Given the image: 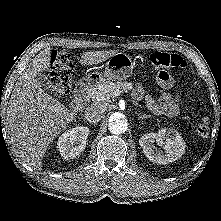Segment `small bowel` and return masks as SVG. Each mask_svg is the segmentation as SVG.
I'll return each instance as SVG.
<instances>
[{
	"instance_id": "obj_1",
	"label": "small bowel",
	"mask_w": 221,
	"mask_h": 221,
	"mask_svg": "<svg viewBox=\"0 0 221 221\" xmlns=\"http://www.w3.org/2000/svg\"><path fill=\"white\" fill-rule=\"evenodd\" d=\"M143 95V89L140 85H136L133 91L135 99H140ZM146 104L148 108L158 114H166L175 116L179 112V105L176 98L170 93H166L159 102H156L151 96H146Z\"/></svg>"
}]
</instances>
